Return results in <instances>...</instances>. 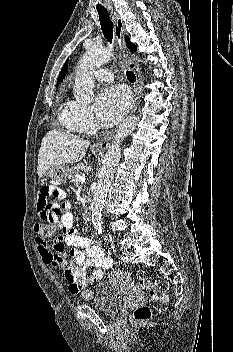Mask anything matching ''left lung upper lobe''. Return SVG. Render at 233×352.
Listing matches in <instances>:
<instances>
[{"instance_id":"5c2ea615","label":"left lung upper lobe","mask_w":233,"mask_h":352,"mask_svg":"<svg viewBox=\"0 0 233 352\" xmlns=\"http://www.w3.org/2000/svg\"><path fill=\"white\" fill-rule=\"evenodd\" d=\"M126 45H127V47H128L131 51H136V50H137L135 44L131 43V42L129 41V38H128V37H126Z\"/></svg>"}]
</instances>
